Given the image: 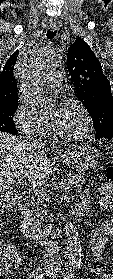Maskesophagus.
I'll list each match as a JSON object with an SVG mask.
<instances>
[{"label":"esophagus","mask_w":113,"mask_h":279,"mask_svg":"<svg viewBox=\"0 0 113 279\" xmlns=\"http://www.w3.org/2000/svg\"><path fill=\"white\" fill-rule=\"evenodd\" d=\"M49 28H50L51 30H55V29H56V24H50V25H49Z\"/></svg>","instance_id":"34e87169"}]
</instances>
